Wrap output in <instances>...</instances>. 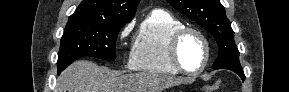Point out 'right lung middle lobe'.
Segmentation results:
<instances>
[{
	"label": "right lung middle lobe",
	"instance_id": "right-lung-middle-lobe-1",
	"mask_svg": "<svg viewBox=\"0 0 289 92\" xmlns=\"http://www.w3.org/2000/svg\"><path fill=\"white\" fill-rule=\"evenodd\" d=\"M124 25L67 23L58 53V74L82 56L115 60L116 39Z\"/></svg>",
	"mask_w": 289,
	"mask_h": 92
}]
</instances>
